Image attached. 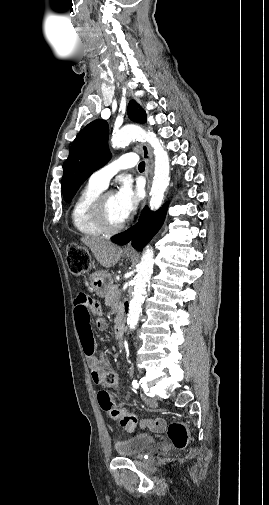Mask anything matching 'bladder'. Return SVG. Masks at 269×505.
I'll return each instance as SVG.
<instances>
[{
    "label": "bladder",
    "instance_id": "1",
    "mask_svg": "<svg viewBox=\"0 0 269 505\" xmlns=\"http://www.w3.org/2000/svg\"><path fill=\"white\" fill-rule=\"evenodd\" d=\"M155 444V437L149 434H138L115 443V452L120 457H138Z\"/></svg>",
    "mask_w": 269,
    "mask_h": 505
}]
</instances>
